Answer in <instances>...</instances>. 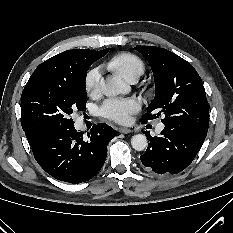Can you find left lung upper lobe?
Here are the masks:
<instances>
[{"label":"left lung upper lobe","instance_id":"5c2ea615","mask_svg":"<svg viewBox=\"0 0 233 233\" xmlns=\"http://www.w3.org/2000/svg\"><path fill=\"white\" fill-rule=\"evenodd\" d=\"M149 62L155 80V97L142 122L165 115L167 125H188L207 132L209 106L202 81L193 66L164 48L135 47ZM156 113V114H153Z\"/></svg>","mask_w":233,"mask_h":233}]
</instances>
